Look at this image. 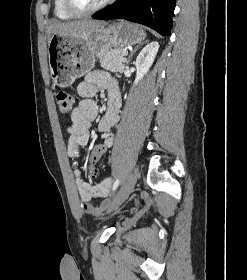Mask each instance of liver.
Listing matches in <instances>:
<instances>
[{
	"mask_svg": "<svg viewBox=\"0 0 247 280\" xmlns=\"http://www.w3.org/2000/svg\"><path fill=\"white\" fill-rule=\"evenodd\" d=\"M106 24L107 23L104 21L90 20V19L70 21V22L54 21L48 27V35H49V39L53 34L72 35V36L85 35L87 33L94 31L99 27L105 26Z\"/></svg>",
	"mask_w": 247,
	"mask_h": 280,
	"instance_id": "1",
	"label": "liver"
}]
</instances>
